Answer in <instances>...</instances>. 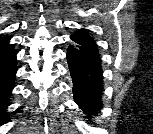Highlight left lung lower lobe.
<instances>
[{"mask_svg":"<svg viewBox=\"0 0 153 134\" xmlns=\"http://www.w3.org/2000/svg\"><path fill=\"white\" fill-rule=\"evenodd\" d=\"M67 60L75 102L88 117L98 114L103 92V69L98 50L80 44L70 45Z\"/></svg>","mask_w":153,"mask_h":134,"instance_id":"1","label":"left lung lower lobe"}]
</instances>
